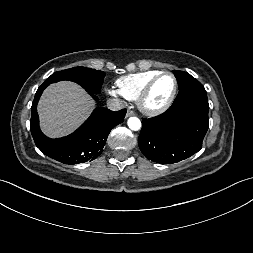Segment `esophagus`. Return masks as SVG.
I'll list each match as a JSON object with an SVG mask.
<instances>
[{"mask_svg": "<svg viewBox=\"0 0 253 253\" xmlns=\"http://www.w3.org/2000/svg\"><path fill=\"white\" fill-rule=\"evenodd\" d=\"M134 115V112L131 111V110H128L127 113H126V117H130V116H133Z\"/></svg>", "mask_w": 253, "mask_h": 253, "instance_id": "esophagus-1", "label": "esophagus"}]
</instances>
